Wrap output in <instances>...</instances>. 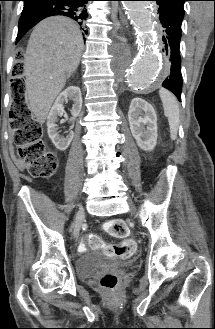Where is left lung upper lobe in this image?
Listing matches in <instances>:
<instances>
[{
    "label": "left lung upper lobe",
    "mask_w": 215,
    "mask_h": 329,
    "mask_svg": "<svg viewBox=\"0 0 215 329\" xmlns=\"http://www.w3.org/2000/svg\"><path fill=\"white\" fill-rule=\"evenodd\" d=\"M161 1L173 7L181 15H184V7H183L184 2L188 0H161Z\"/></svg>",
    "instance_id": "5c2ea615"
}]
</instances>
